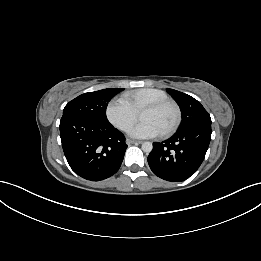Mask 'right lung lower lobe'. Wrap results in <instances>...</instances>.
Returning a JSON list of instances; mask_svg holds the SVG:
<instances>
[{"label":"right lung lower lobe","mask_w":261,"mask_h":261,"mask_svg":"<svg viewBox=\"0 0 261 261\" xmlns=\"http://www.w3.org/2000/svg\"><path fill=\"white\" fill-rule=\"evenodd\" d=\"M60 136L65 157L80 177L104 180L121 166L127 145L124 135L109 122L63 115Z\"/></svg>","instance_id":"obj_1"}]
</instances>
